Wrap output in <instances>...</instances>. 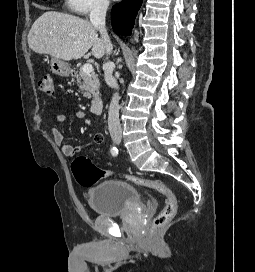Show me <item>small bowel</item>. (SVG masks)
I'll return each instance as SVG.
<instances>
[{"label":"small bowel","instance_id":"c3829d8e","mask_svg":"<svg viewBox=\"0 0 255 272\" xmlns=\"http://www.w3.org/2000/svg\"><path fill=\"white\" fill-rule=\"evenodd\" d=\"M74 116L77 119H84L86 117V114L83 110H76L74 113ZM67 120H68V117L65 114L57 115L55 118V123L51 128V132H52L55 144L60 147L63 155H65L66 157H73L76 155L78 150L88 147L91 143L85 144L79 147H75L73 145L65 143L64 136L62 132L58 129L57 125L66 123ZM103 142H104L103 134L98 133L93 137L92 144L100 145V144H103Z\"/></svg>","mask_w":255,"mask_h":272}]
</instances>
